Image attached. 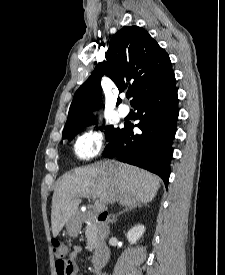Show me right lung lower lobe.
<instances>
[{"instance_id":"right-lung-lower-lobe-1","label":"right lung lower lobe","mask_w":225,"mask_h":275,"mask_svg":"<svg viewBox=\"0 0 225 275\" xmlns=\"http://www.w3.org/2000/svg\"><path fill=\"white\" fill-rule=\"evenodd\" d=\"M132 106L138 110L140 122L135 126L142 133L134 134V125L126 123L106 146L103 156L149 170L167 186L179 113L175 79L161 90L140 97Z\"/></svg>"}]
</instances>
